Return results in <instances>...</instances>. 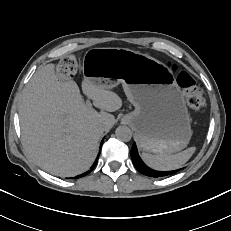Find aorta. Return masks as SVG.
I'll return each mask as SVG.
<instances>
[{"mask_svg": "<svg viewBox=\"0 0 231 231\" xmlns=\"http://www.w3.org/2000/svg\"><path fill=\"white\" fill-rule=\"evenodd\" d=\"M116 137L123 142H128L132 138L131 129L127 126H119L115 131Z\"/></svg>", "mask_w": 231, "mask_h": 231, "instance_id": "aorta-1", "label": "aorta"}]
</instances>
